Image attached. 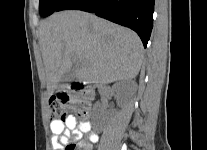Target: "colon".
I'll return each instance as SVG.
<instances>
[{"instance_id":"colon-1","label":"colon","mask_w":207,"mask_h":150,"mask_svg":"<svg viewBox=\"0 0 207 150\" xmlns=\"http://www.w3.org/2000/svg\"><path fill=\"white\" fill-rule=\"evenodd\" d=\"M64 96L67 98V95L64 94ZM65 100L62 97L59 96H52L49 99V109H50V116L52 120H64L67 117V111L64 104ZM67 105H72V100L66 101ZM84 113H79V117L82 118ZM66 150H77V147L75 144H69L66 147Z\"/></svg>"}]
</instances>
